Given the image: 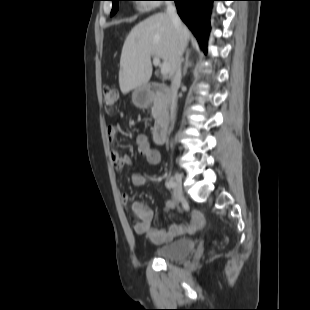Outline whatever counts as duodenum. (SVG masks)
Listing matches in <instances>:
<instances>
[{"instance_id": "1", "label": "duodenum", "mask_w": 310, "mask_h": 310, "mask_svg": "<svg viewBox=\"0 0 310 310\" xmlns=\"http://www.w3.org/2000/svg\"><path fill=\"white\" fill-rule=\"evenodd\" d=\"M172 92L166 86L158 82H150L147 91L143 93L145 104L157 101L158 116L154 126L152 137L155 144H162L166 138L171 117L168 109Z\"/></svg>"}]
</instances>
